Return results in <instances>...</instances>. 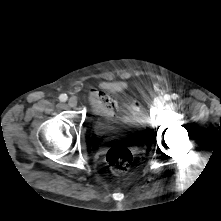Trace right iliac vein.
I'll use <instances>...</instances> for the list:
<instances>
[{
    "label": "right iliac vein",
    "mask_w": 221,
    "mask_h": 221,
    "mask_svg": "<svg viewBox=\"0 0 221 221\" xmlns=\"http://www.w3.org/2000/svg\"><path fill=\"white\" fill-rule=\"evenodd\" d=\"M68 105L70 107H75L77 105V99L75 97H71L69 100H68Z\"/></svg>",
    "instance_id": "obj_1"
}]
</instances>
